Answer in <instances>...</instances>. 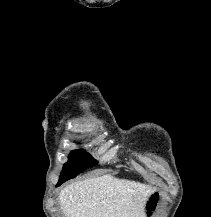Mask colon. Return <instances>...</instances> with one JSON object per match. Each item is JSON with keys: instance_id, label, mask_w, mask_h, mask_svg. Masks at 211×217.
Segmentation results:
<instances>
[{"instance_id": "5ec220e1", "label": "colon", "mask_w": 211, "mask_h": 217, "mask_svg": "<svg viewBox=\"0 0 211 217\" xmlns=\"http://www.w3.org/2000/svg\"><path fill=\"white\" fill-rule=\"evenodd\" d=\"M157 200H158V196L154 195L151 201L149 202V210H153L155 208Z\"/></svg>"}]
</instances>
